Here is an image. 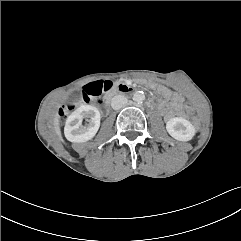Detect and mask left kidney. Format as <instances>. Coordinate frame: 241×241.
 Instances as JSON below:
<instances>
[{
  "label": "left kidney",
  "instance_id": "left-kidney-1",
  "mask_svg": "<svg viewBox=\"0 0 241 241\" xmlns=\"http://www.w3.org/2000/svg\"><path fill=\"white\" fill-rule=\"evenodd\" d=\"M166 129L174 139L179 141H189L196 133L192 123L182 117L171 118L166 123Z\"/></svg>",
  "mask_w": 241,
  "mask_h": 241
}]
</instances>
